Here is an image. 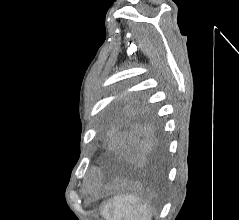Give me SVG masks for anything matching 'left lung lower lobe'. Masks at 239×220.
<instances>
[{"instance_id": "obj_1", "label": "left lung lower lobe", "mask_w": 239, "mask_h": 220, "mask_svg": "<svg viewBox=\"0 0 239 220\" xmlns=\"http://www.w3.org/2000/svg\"><path fill=\"white\" fill-rule=\"evenodd\" d=\"M106 133V147L110 165L138 162L144 158L159 161L163 157L158 127L147 112H133L125 108L114 110Z\"/></svg>"}]
</instances>
